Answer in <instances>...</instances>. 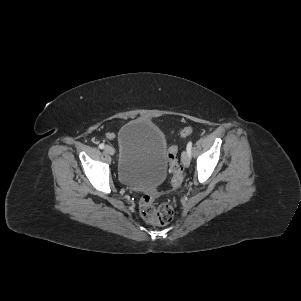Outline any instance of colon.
Here are the masks:
<instances>
[{
  "instance_id": "1",
  "label": "colon",
  "mask_w": 301,
  "mask_h": 301,
  "mask_svg": "<svg viewBox=\"0 0 301 301\" xmlns=\"http://www.w3.org/2000/svg\"><path fill=\"white\" fill-rule=\"evenodd\" d=\"M192 132V127L187 126L181 130L180 135L181 137H188ZM167 157L172 173V184L174 187H179L183 181V169L180 163L177 145H173L168 149ZM175 205V197L159 206H155L153 198L149 195H144L140 199L139 209L142 218L147 222L157 225H166L173 219Z\"/></svg>"
}]
</instances>
